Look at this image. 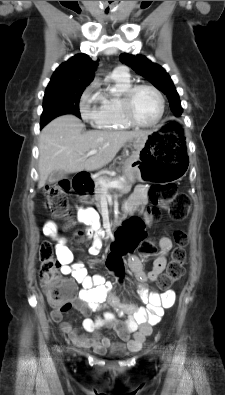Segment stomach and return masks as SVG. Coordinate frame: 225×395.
Here are the masks:
<instances>
[{
  "instance_id": "1",
  "label": "stomach",
  "mask_w": 225,
  "mask_h": 395,
  "mask_svg": "<svg viewBox=\"0 0 225 395\" xmlns=\"http://www.w3.org/2000/svg\"><path fill=\"white\" fill-rule=\"evenodd\" d=\"M158 139L159 134L152 132L146 141L132 142L133 152L124 166L128 180L152 183L178 180L183 176L184 164L175 155L168 157Z\"/></svg>"
}]
</instances>
